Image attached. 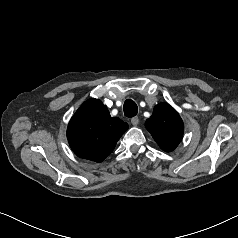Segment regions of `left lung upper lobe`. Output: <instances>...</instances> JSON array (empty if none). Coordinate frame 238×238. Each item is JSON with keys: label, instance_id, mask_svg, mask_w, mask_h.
<instances>
[{"label": "left lung upper lobe", "instance_id": "5c2ea615", "mask_svg": "<svg viewBox=\"0 0 238 238\" xmlns=\"http://www.w3.org/2000/svg\"><path fill=\"white\" fill-rule=\"evenodd\" d=\"M146 128L154 140L166 152L173 151L181 142L184 124L178 112L167 103L155 106Z\"/></svg>", "mask_w": 238, "mask_h": 238}]
</instances>
